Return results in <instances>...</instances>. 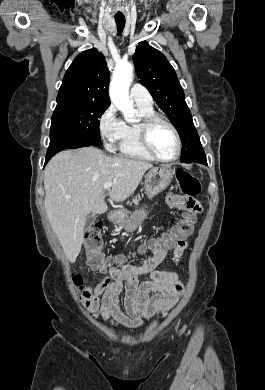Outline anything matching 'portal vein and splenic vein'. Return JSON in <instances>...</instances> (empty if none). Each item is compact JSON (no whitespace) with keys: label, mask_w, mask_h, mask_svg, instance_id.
Masks as SVG:
<instances>
[{"label":"portal vein and splenic vein","mask_w":265,"mask_h":390,"mask_svg":"<svg viewBox=\"0 0 265 390\" xmlns=\"http://www.w3.org/2000/svg\"><path fill=\"white\" fill-rule=\"evenodd\" d=\"M112 186H113V183H112V182H107V183L104 185V188H105V190H109Z\"/></svg>","instance_id":"obj_1"}]
</instances>
